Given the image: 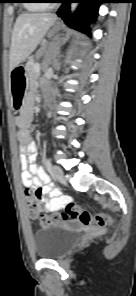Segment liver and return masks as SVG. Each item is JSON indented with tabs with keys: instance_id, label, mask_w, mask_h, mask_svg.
I'll list each match as a JSON object with an SVG mask.
<instances>
[{
	"instance_id": "liver-1",
	"label": "liver",
	"mask_w": 136,
	"mask_h": 296,
	"mask_svg": "<svg viewBox=\"0 0 136 296\" xmlns=\"http://www.w3.org/2000/svg\"><path fill=\"white\" fill-rule=\"evenodd\" d=\"M56 19L51 13H22L17 17L11 36L10 70L29 57Z\"/></svg>"
}]
</instances>
